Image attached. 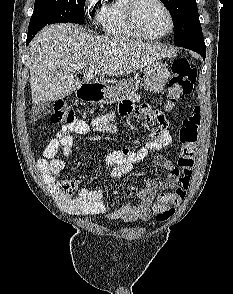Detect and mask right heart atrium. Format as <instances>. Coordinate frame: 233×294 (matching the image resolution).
I'll use <instances>...</instances> for the list:
<instances>
[{"instance_id": "right-heart-atrium-1", "label": "right heart atrium", "mask_w": 233, "mask_h": 294, "mask_svg": "<svg viewBox=\"0 0 233 294\" xmlns=\"http://www.w3.org/2000/svg\"><path fill=\"white\" fill-rule=\"evenodd\" d=\"M84 9L87 13H92L97 20L101 13L102 5L100 0H84Z\"/></svg>"}]
</instances>
